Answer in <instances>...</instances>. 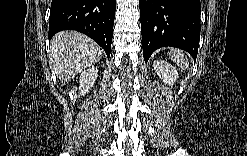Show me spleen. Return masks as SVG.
I'll return each instance as SVG.
<instances>
[{
  "label": "spleen",
  "instance_id": "1",
  "mask_svg": "<svg viewBox=\"0 0 247 156\" xmlns=\"http://www.w3.org/2000/svg\"><path fill=\"white\" fill-rule=\"evenodd\" d=\"M169 58L176 63L178 66H180L182 69H188L189 67V62L188 60L184 57V54L181 50L171 48L169 53Z\"/></svg>",
  "mask_w": 247,
  "mask_h": 156
}]
</instances>
